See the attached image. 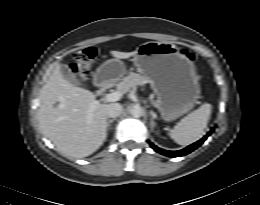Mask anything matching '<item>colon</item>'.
I'll use <instances>...</instances> for the list:
<instances>
[{"label":"colon","mask_w":260,"mask_h":205,"mask_svg":"<svg viewBox=\"0 0 260 205\" xmlns=\"http://www.w3.org/2000/svg\"><path fill=\"white\" fill-rule=\"evenodd\" d=\"M97 56V48L89 46L74 53V62L71 65L73 74L83 80L88 76L90 66Z\"/></svg>","instance_id":"5ec220e1"}]
</instances>
